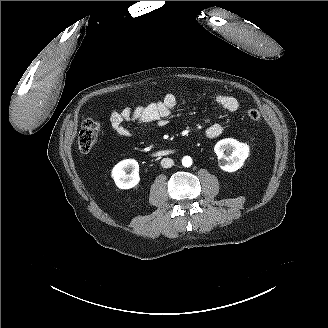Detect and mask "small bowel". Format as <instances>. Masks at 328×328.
<instances>
[{"label":"small bowel","mask_w":328,"mask_h":328,"mask_svg":"<svg viewBox=\"0 0 328 328\" xmlns=\"http://www.w3.org/2000/svg\"><path fill=\"white\" fill-rule=\"evenodd\" d=\"M213 101L229 112H236L240 108L237 98L226 95L216 94ZM178 104L177 96L168 93L162 101L150 103L136 108L125 107L119 111H112L109 115L111 128L115 133L122 137L131 136L130 130L127 128V122H135L138 124L153 123L157 127H164L170 117L172 111ZM223 132V127L218 124H212L206 129V136L210 139L219 137Z\"/></svg>","instance_id":"1"}]
</instances>
